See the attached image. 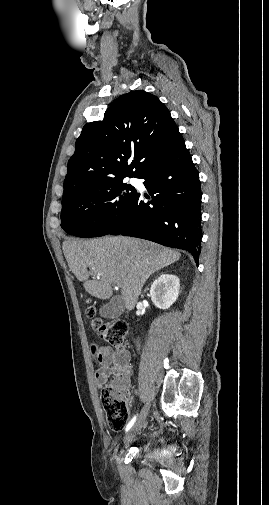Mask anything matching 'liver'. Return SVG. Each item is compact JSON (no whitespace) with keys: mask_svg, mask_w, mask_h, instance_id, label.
I'll list each match as a JSON object with an SVG mask.
<instances>
[{"mask_svg":"<svg viewBox=\"0 0 269 505\" xmlns=\"http://www.w3.org/2000/svg\"><path fill=\"white\" fill-rule=\"evenodd\" d=\"M62 248L70 270L91 296L109 299L116 284L129 311L134 309L149 276L181 257L178 251L159 244L123 236L69 239ZM90 275L94 276L92 280Z\"/></svg>","mask_w":269,"mask_h":505,"instance_id":"liver-1","label":"liver"}]
</instances>
